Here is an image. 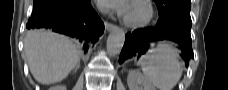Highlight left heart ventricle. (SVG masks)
Returning <instances> with one entry per match:
<instances>
[{
	"mask_svg": "<svg viewBox=\"0 0 228 90\" xmlns=\"http://www.w3.org/2000/svg\"><path fill=\"white\" fill-rule=\"evenodd\" d=\"M146 14H147V10L145 6L139 3H135V4L129 5L125 15L133 21H138L143 19L146 16Z\"/></svg>",
	"mask_w": 228,
	"mask_h": 90,
	"instance_id": "b2bd125f",
	"label": "left heart ventricle"
}]
</instances>
